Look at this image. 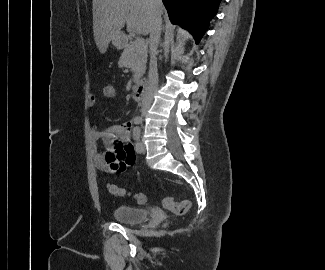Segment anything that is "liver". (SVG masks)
Here are the masks:
<instances>
[{
    "label": "liver",
    "instance_id": "6515ba94",
    "mask_svg": "<svg viewBox=\"0 0 325 270\" xmlns=\"http://www.w3.org/2000/svg\"><path fill=\"white\" fill-rule=\"evenodd\" d=\"M92 6L94 40L102 54L125 23L129 33H150L152 12L148 0H93ZM163 10L161 6L160 15Z\"/></svg>",
    "mask_w": 325,
    "mask_h": 270
}]
</instances>
